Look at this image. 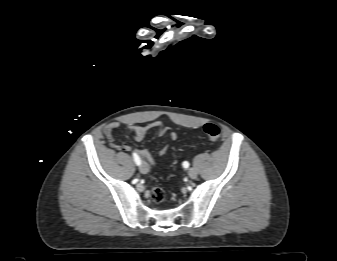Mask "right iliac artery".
<instances>
[{
  "mask_svg": "<svg viewBox=\"0 0 337 261\" xmlns=\"http://www.w3.org/2000/svg\"><path fill=\"white\" fill-rule=\"evenodd\" d=\"M133 159L137 165L141 164L140 157L136 153H133Z\"/></svg>",
  "mask_w": 337,
  "mask_h": 261,
  "instance_id": "obj_1",
  "label": "right iliac artery"
}]
</instances>
